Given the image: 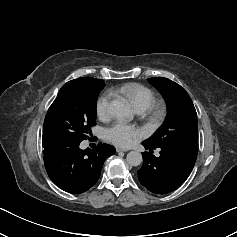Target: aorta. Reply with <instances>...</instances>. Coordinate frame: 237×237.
<instances>
[{
	"label": "aorta",
	"instance_id": "1",
	"mask_svg": "<svg viewBox=\"0 0 237 237\" xmlns=\"http://www.w3.org/2000/svg\"><path fill=\"white\" fill-rule=\"evenodd\" d=\"M110 111L120 119H130L133 115L130 107L120 100H113L110 103ZM126 159L127 163L131 166H138L143 161L142 154L138 151H130Z\"/></svg>",
	"mask_w": 237,
	"mask_h": 237
}]
</instances>
